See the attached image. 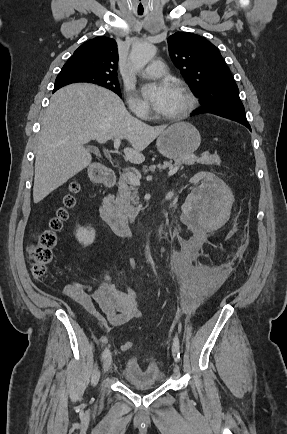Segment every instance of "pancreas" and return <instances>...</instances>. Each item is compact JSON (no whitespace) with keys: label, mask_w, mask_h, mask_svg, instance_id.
Here are the masks:
<instances>
[{"label":"pancreas","mask_w":287,"mask_h":434,"mask_svg":"<svg viewBox=\"0 0 287 434\" xmlns=\"http://www.w3.org/2000/svg\"><path fill=\"white\" fill-rule=\"evenodd\" d=\"M195 163H199L202 165H219L221 160L218 155H209L204 154L201 157H196L195 155H187L180 158L175 159L174 164L171 162L165 163L163 166H158L162 168L166 167H174L181 166L182 164L186 165H194ZM155 166H151L149 169L154 171ZM183 167H181L182 169ZM148 170L144 167V172ZM139 196L138 189L135 185L131 184L127 174H123L120 176L118 181V193L115 200L116 213L127 219L134 220L139 212Z\"/></svg>","instance_id":"pancreas-1"}]
</instances>
